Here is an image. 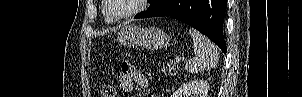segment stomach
I'll use <instances>...</instances> for the list:
<instances>
[{"mask_svg": "<svg viewBox=\"0 0 302 97\" xmlns=\"http://www.w3.org/2000/svg\"><path fill=\"white\" fill-rule=\"evenodd\" d=\"M117 40L121 45L127 47L142 46L151 51L173 45L171 39L161 29L156 27L142 28L134 24L122 27Z\"/></svg>", "mask_w": 302, "mask_h": 97, "instance_id": "stomach-1", "label": "stomach"}]
</instances>
